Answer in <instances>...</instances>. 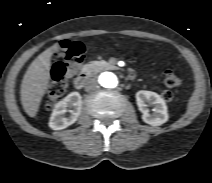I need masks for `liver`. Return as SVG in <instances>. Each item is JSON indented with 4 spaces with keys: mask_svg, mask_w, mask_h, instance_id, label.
Returning <instances> with one entry per match:
<instances>
[{
    "mask_svg": "<svg viewBox=\"0 0 212 183\" xmlns=\"http://www.w3.org/2000/svg\"><path fill=\"white\" fill-rule=\"evenodd\" d=\"M59 49L55 44L42 52L28 67L21 84V103L25 112L36 116L50 82L51 56Z\"/></svg>",
    "mask_w": 212,
    "mask_h": 183,
    "instance_id": "6515ba94",
    "label": "liver"
}]
</instances>
